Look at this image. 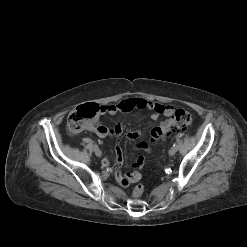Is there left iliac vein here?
Here are the masks:
<instances>
[{
    "mask_svg": "<svg viewBox=\"0 0 247 247\" xmlns=\"http://www.w3.org/2000/svg\"><path fill=\"white\" fill-rule=\"evenodd\" d=\"M176 151H177V149L174 148V147H172V148L169 150V155H170V156H174L175 153H176Z\"/></svg>",
    "mask_w": 247,
    "mask_h": 247,
    "instance_id": "obj_1",
    "label": "left iliac vein"
}]
</instances>
